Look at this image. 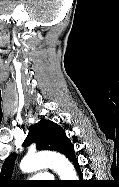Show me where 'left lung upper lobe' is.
<instances>
[{"mask_svg":"<svg viewBox=\"0 0 119 187\" xmlns=\"http://www.w3.org/2000/svg\"><path fill=\"white\" fill-rule=\"evenodd\" d=\"M33 142L36 143L38 150L56 151L65 156L68 155L73 146L64 130L56 123L46 119H42L29 127V133L23 146H29ZM15 159L16 155L13 153L4 161L0 172V187H11L18 183L10 180Z\"/></svg>","mask_w":119,"mask_h":187,"instance_id":"5c2ea615","label":"left lung upper lobe"}]
</instances>
